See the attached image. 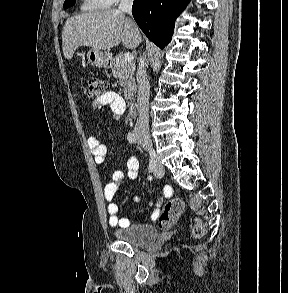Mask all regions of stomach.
<instances>
[{
  "mask_svg": "<svg viewBox=\"0 0 288 293\" xmlns=\"http://www.w3.org/2000/svg\"><path fill=\"white\" fill-rule=\"evenodd\" d=\"M88 62L96 67L109 68L111 66V55L108 52L90 49L87 53Z\"/></svg>",
  "mask_w": 288,
  "mask_h": 293,
  "instance_id": "0dacf381",
  "label": "stomach"
}]
</instances>
